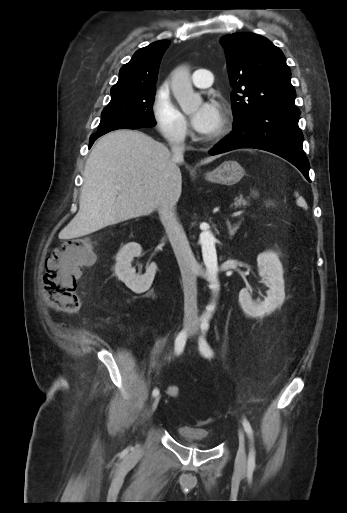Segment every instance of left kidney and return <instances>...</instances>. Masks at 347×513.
I'll list each match as a JSON object with an SVG mask.
<instances>
[{"mask_svg":"<svg viewBox=\"0 0 347 513\" xmlns=\"http://www.w3.org/2000/svg\"><path fill=\"white\" fill-rule=\"evenodd\" d=\"M257 263L259 275L269 287V290L263 302L252 300L251 287H246L240 291V305L250 317H263L271 314L283 304L285 299L283 268L278 255L272 251H265L258 255Z\"/></svg>","mask_w":347,"mask_h":513,"instance_id":"obj_1","label":"left kidney"}]
</instances>
